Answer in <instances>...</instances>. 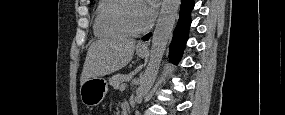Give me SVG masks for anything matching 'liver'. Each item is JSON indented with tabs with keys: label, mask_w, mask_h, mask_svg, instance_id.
I'll return each mask as SVG.
<instances>
[{
	"label": "liver",
	"mask_w": 285,
	"mask_h": 115,
	"mask_svg": "<svg viewBox=\"0 0 285 115\" xmlns=\"http://www.w3.org/2000/svg\"><path fill=\"white\" fill-rule=\"evenodd\" d=\"M134 48L135 40L125 38L101 39L93 42L86 55L80 83L122 69L132 60Z\"/></svg>",
	"instance_id": "liver-1"
}]
</instances>
